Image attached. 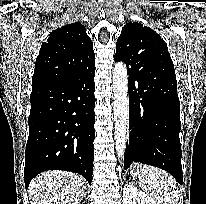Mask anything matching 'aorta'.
<instances>
[{
  "mask_svg": "<svg viewBox=\"0 0 206 204\" xmlns=\"http://www.w3.org/2000/svg\"><path fill=\"white\" fill-rule=\"evenodd\" d=\"M114 139L119 159L124 158L129 128V98L127 67L123 62L113 69Z\"/></svg>",
  "mask_w": 206,
  "mask_h": 204,
  "instance_id": "obj_1",
  "label": "aorta"
}]
</instances>
